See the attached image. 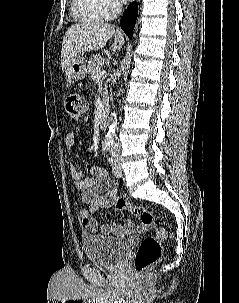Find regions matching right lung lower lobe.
I'll return each mask as SVG.
<instances>
[{
    "instance_id": "right-lung-lower-lobe-1",
    "label": "right lung lower lobe",
    "mask_w": 239,
    "mask_h": 303,
    "mask_svg": "<svg viewBox=\"0 0 239 303\" xmlns=\"http://www.w3.org/2000/svg\"><path fill=\"white\" fill-rule=\"evenodd\" d=\"M137 14H138V4L136 2H133L129 5V7L125 11V13L120 21V26H121L122 30L130 38H132V35H133V29H134L135 22L137 19Z\"/></svg>"
}]
</instances>
